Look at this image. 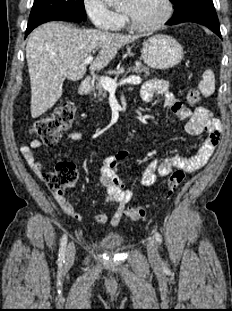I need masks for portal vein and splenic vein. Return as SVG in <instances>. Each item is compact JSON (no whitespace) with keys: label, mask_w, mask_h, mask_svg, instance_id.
<instances>
[{"label":"portal vein and splenic vein","mask_w":232,"mask_h":311,"mask_svg":"<svg viewBox=\"0 0 232 311\" xmlns=\"http://www.w3.org/2000/svg\"><path fill=\"white\" fill-rule=\"evenodd\" d=\"M93 61V56H88L85 59V63L86 64H90ZM141 78L138 76H130L126 79L121 80L119 83L116 82V80L111 79L109 77H103L100 79V83L102 85L103 88H105L108 91H113L117 88L118 85H124L126 83L129 84H140L141 83Z\"/></svg>","instance_id":"1"}]
</instances>
